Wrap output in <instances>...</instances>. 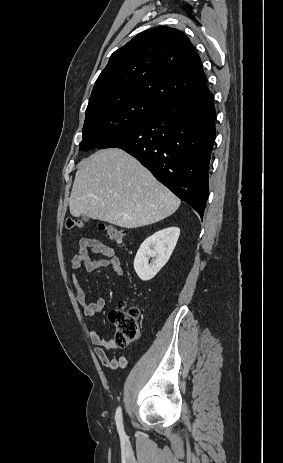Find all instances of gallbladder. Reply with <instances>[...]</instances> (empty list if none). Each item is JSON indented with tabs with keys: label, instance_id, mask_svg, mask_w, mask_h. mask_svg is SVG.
I'll return each mask as SVG.
<instances>
[{
	"label": "gallbladder",
	"instance_id": "bac80fb5",
	"mask_svg": "<svg viewBox=\"0 0 283 463\" xmlns=\"http://www.w3.org/2000/svg\"><path fill=\"white\" fill-rule=\"evenodd\" d=\"M82 219L87 221L88 220V217L86 215H82Z\"/></svg>",
	"mask_w": 283,
	"mask_h": 463
}]
</instances>
